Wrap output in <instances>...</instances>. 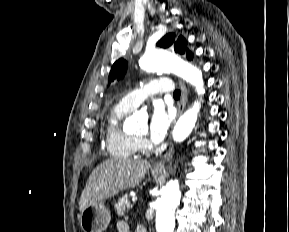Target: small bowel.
Segmentation results:
<instances>
[{"label": "small bowel", "mask_w": 289, "mask_h": 232, "mask_svg": "<svg viewBox=\"0 0 289 232\" xmlns=\"http://www.w3.org/2000/svg\"><path fill=\"white\" fill-rule=\"evenodd\" d=\"M118 232H131L127 223L120 221L117 223Z\"/></svg>", "instance_id": "c3829d8e"}]
</instances>
